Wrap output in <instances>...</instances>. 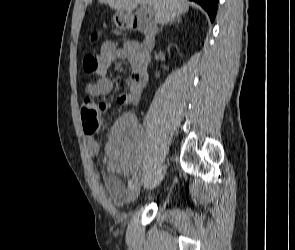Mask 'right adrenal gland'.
I'll list each match as a JSON object with an SVG mask.
<instances>
[{"label": "right adrenal gland", "instance_id": "2a0ac1e0", "mask_svg": "<svg viewBox=\"0 0 295 250\" xmlns=\"http://www.w3.org/2000/svg\"><path fill=\"white\" fill-rule=\"evenodd\" d=\"M174 22L180 23L181 22V18L180 17H176L175 19H171L170 21H167L165 23V25L168 24V23H174ZM163 25L161 26V28L163 27Z\"/></svg>", "mask_w": 295, "mask_h": 250}]
</instances>
